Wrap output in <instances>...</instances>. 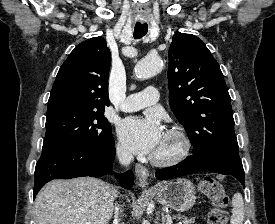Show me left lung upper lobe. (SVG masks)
I'll return each mask as SVG.
<instances>
[{"label": "left lung upper lobe", "instance_id": "left-lung-upper-lobe-1", "mask_svg": "<svg viewBox=\"0 0 275 224\" xmlns=\"http://www.w3.org/2000/svg\"><path fill=\"white\" fill-rule=\"evenodd\" d=\"M170 107L198 156L238 154L231 98L223 74L205 44L176 33L168 53Z\"/></svg>", "mask_w": 275, "mask_h": 224}]
</instances>
